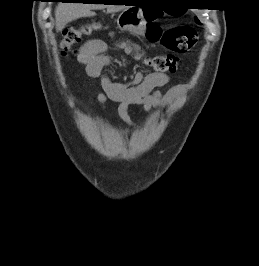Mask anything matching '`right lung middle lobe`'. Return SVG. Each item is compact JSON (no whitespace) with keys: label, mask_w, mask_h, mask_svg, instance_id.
I'll return each instance as SVG.
<instances>
[{"label":"right lung middle lobe","mask_w":259,"mask_h":266,"mask_svg":"<svg viewBox=\"0 0 259 266\" xmlns=\"http://www.w3.org/2000/svg\"><path fill=\"white\" fill-rule=\"evenodd\" d=\"M58 1H62L63 2V1H67V0H58Z\"/></svg>","instance_id":"1"}]
</instances>
